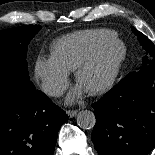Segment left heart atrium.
I'll return each mask as SVG.
<instances>
[{
  "instance_id": "39dd6f15",
  "label": "left heart atrium",
  "mask_w": 155,
  "mask_h": 155,
  "mask_svg": "<svg viewBox=\"0 0 155 155\" xmlns=\"http://www.w3.org/2000/svg\"><path fill=\"white\" fill-rule=\"evenodd\" d=\"M82 90H83L82 87H78V88L76 89V93H80ZM73 100H74V95H71V96L68 98V101L70 102V101H73Z\"/></svg>"
}]
</instances>
